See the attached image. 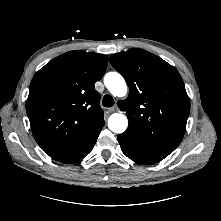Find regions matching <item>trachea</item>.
<instances>
[{
    "instance_id": "obj_1",
    "label": "trachea",
    "mask_w": 221,
    "mask_h": 221,
    "mask_svg": "<svg viewBox=\"0 0 221 221\" xmlns=\"http://www.w3.org/2000/svg\"><path fill=\"white\" fill-rule=\"evenodd\" d=\"M102 104L104 107H112L114 105V99L110 95H105Z\"/></svg>"
}]
</instances>
